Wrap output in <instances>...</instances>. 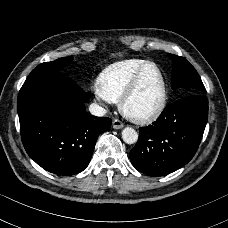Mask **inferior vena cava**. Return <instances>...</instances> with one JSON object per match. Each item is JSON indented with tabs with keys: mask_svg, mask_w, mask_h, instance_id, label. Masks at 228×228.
Returning <instances> with one entry per match:
<instances>
[{
	"mask_svg": "<svg viewBox=\"0 0 228 228\" xmlns=\"http://www.w3.org/2000/svg\"><path fill=\"white\" fill-rule=\"evenodd\" d=\"M89 111L92 115L99 117L104 116L106 114V110L96 103L90 104Z\"/></svg>",
	"mask_w": 228,
	"mask_h": 228,
	"instance_id": "1",
	"label": "inferior vena cava"
}]
</instances>
